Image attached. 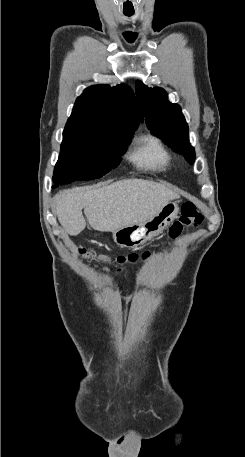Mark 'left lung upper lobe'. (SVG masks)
I'll return each instance as SVG.
<instances>
[{
	"label": "left lung upper lobe",
	"instance_id": "obj_1",
	"mask_svg": "<svg viewBox=\"0 0 245 457\" xmlns=\"http://www.w3.org/2000/svg\"><path fill=\"white\" fill-rule=\"evenodd\" d=\"M136 95L151 133L193 164L195 151L189 144L188 125L180 106L170 103L162 88H148L140 81L136 82Z\"/></svg>",
	"mask_w": 245,
	"mask_h": 457
}]
</instances>
